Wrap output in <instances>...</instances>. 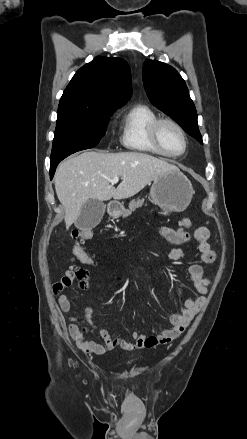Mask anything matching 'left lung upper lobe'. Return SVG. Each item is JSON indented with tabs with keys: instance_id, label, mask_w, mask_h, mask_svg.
<instances>
[{
	"instance_id": "5c2ea615",
	"label": "left lung upper lobe",
	"mask_w": 247,
	"mask_h": 439,
	"mask_svg": "<svg viewBox=\"0 0 247 439\" xmlns=\"http://www.w3.org/2000/svg\"><path fill=\"white\" fill-rule=\"evenodd\" d=\"M142 77L151 103L172 117L185 132L202 142L194 103L176 69L163 62L147 59Z\"/></svg>"
}]
</instances>
